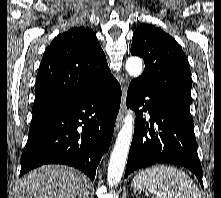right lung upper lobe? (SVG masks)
Wrapping results in <instances>:
<instances>
[{"label":"right lung upper lobe","mask_w":221,"mask_h":198,"mask_svg":"<svg viewBox=\"0 0 221 198\" xmlns=\"http://www.w3.org/2000/svg\"><path fill=\"white\" fill-rule=\"evenodd\" d=\"M114 79L94 32L73 27L46 49L36 77L32 120L49 114Z\"/></svg>","instance_id":"obj_1"}]
</instances>
